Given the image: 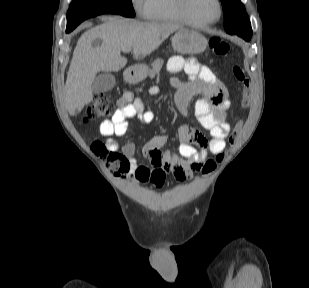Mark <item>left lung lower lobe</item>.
<instances>
[{"label":"left lung lower lobe","mask_w":309,"mask_h":288,"mask_svg":"<svg viewBox=\"0 0 309 288\" xmlns=\"http://www.w3.org/2000/svg\"><path fill=\"white\" fill-rule=\"evenodd\" d=\"M229 34H237L238 36L242 37L246 41H250L252 36V29L246 31H232Z\"/></svg>","instance_id":"left-lung-lower-lobe-1"}]
</instances>
